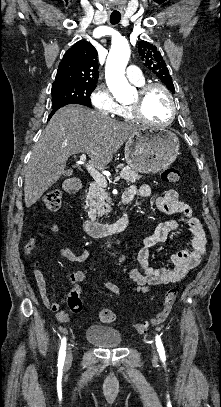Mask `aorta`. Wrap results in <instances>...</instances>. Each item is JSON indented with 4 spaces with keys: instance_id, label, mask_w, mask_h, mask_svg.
<instances>
[{
    "instance_id": "aorta-1",
    "label": "aorta",
    "mask_w": 221,
    "mask_h": 407,
    "mask_svg": "<svg viewBox=\"0 0 221 407\" xmlns=\"http://www.w3.org/2000/svg\"><path fill=\"white\" fill-rule=\"evenodd\" d=\"M129 58L130 48L126 42L113 44L107 57L105 67L106 83L118 101L131 99L135 92V88L128 83L125 77V68Z\"/></svg>"
}]
</instances>
